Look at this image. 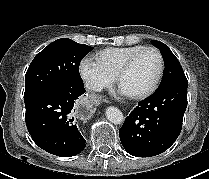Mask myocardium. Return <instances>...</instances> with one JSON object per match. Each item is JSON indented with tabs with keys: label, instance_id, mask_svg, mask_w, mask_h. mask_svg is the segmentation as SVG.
Listing matches in <instances>:
<instances>
[{
	"label": "myocardium",
	"instance_id": "obj_1",
	"mask_svg": "<svg viewBox=\"0 0 209 179\" xmlns=\"http://www.w3.org/2000/svg\"><path fill=\"white\" fill-rule=\"evenodd\" d=\"M147 51H153L157 54L158 58H159V70L157 73L156 78L154 79L153 83L144 91L136 93V94H132L129 95L130 98L132 99H143L146 98L148 96H150L151 94H153L156 89L159 86V83L163 77L164 74V70H165V60L163 57V54L161 53V51L156 48V47H144L141 50L137 51L136 53H134L133 55H131L123 64L122 66L119 68V70L117 71L116 75H115V82L119 85L120 84V80L121 78L129 71V69L133 66V64L135 63V61L145 52Z\"/></svg>",
	"mask_w": 209,
	"mask_h": 179
}]
</instances>
